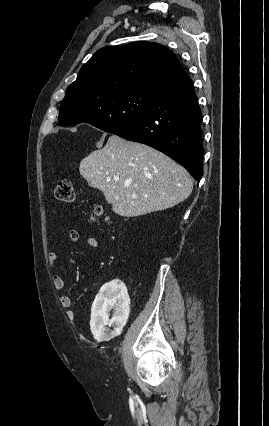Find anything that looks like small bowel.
Returning <instances> with one entry per match:
<instances>
[{
	"label": "small bowel",
	"mask_w": 269,
	"mask_h": 426,
	"mask_svg": "<svg viewBox=\"0 0 269 426\" xmlns=\"http://www.w3.org/2000/svg\"><path fill=\"white\" fill-rule=\"evenodd\" d=\"M79 233L77 230L75 229H70L68 231V243L70 244H75L78 242L79 240ZM87 245L89 248L93 249V250H97L100 248V243L96 238H88L87 239ZM58 260V255L55 252H50L48 255V262L51 266V268L55 267V264ZM53 283L55 285V287L58 290H64L65 289V282L64 279L62 278V276L59 273H54L53 275ZM60 303L61 306L64 308H70L72 305V299L70 296L68 295H63L60 297Z\"/></svg>",
	"instance_id": "1"
}]
</instances>
